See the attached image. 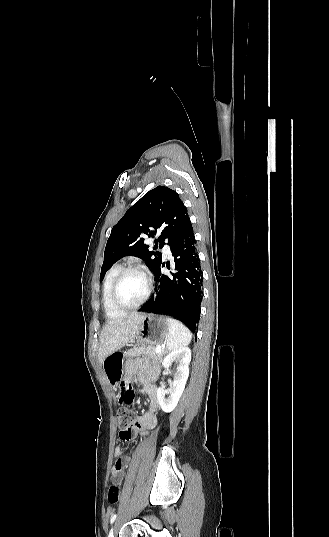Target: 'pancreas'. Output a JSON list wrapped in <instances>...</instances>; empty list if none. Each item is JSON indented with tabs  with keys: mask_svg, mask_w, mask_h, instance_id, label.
I'll return each instance as SVG.
<instances>
[{
	"mask_svg": "<svg viewBox=\"0 0 329 537\" xmlns=\"http://www.w3.org/2000/svg\"><path fill=\"white\" fill-rule=\"evenodd\" d=\"M167 353V351L163 350L160 353L156 352V347L151 345H142L138 347H134L133 349H130L127 351L126 356L127 357H136V356H143L147 360H152L155 362H161L163 359V356Z\"/></svg>",
	"mask_w": 329,
	"mask_h": 537,
	"instance_id": "cf45deb5",
	"label": "pancreas"
}]
</instances>
